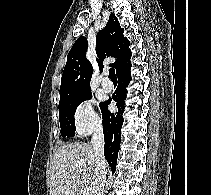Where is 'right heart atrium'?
Masks as SVG:
<instances>
[{"label": "right heart atrium", "mask_w": 211, "mask_h": 195, "mask_svg": "<svg viewBox=\"0 0 211 195\" xmlns=\"http://www.w3.org/2000/svg\"><path fill=\"white\" fill-rule=\"evenodd\" d=\"M74 124L76 130L83 135L100 129L101 120L91 100H84L77 105L74 112Z\"/></svg>", "instance_id": "right-heart-atrium-1"}]
</instances>
